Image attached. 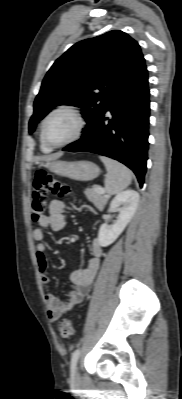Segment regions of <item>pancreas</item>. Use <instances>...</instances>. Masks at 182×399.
I'll return each mask as SVG.
<instances>
[{
  "mask_svg": "<svg viewBox=\"0 0 182 399\" xmlns=\"http://www.w3.org/2000/svg\"><path fill=\"white\" fill-rule=\"evenodd\" d=\"M99 186L95 185L93 186V188L91 189H87L85 191L86 195L89 197V199L91 201H93V203L98 206V207H102L104 205V202L106 201V196L104 195V193H102L99 190Z\"/></svg>",
  "mask_w": 182,
  "mask_h": 399,
  "instance_id": "1",
  "label": "pancreas"
}]
</instances>
